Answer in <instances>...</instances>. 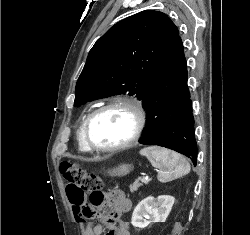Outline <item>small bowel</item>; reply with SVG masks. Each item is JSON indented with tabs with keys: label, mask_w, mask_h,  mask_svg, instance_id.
<instances>
[{
	"label": "small bowel",
	"mask_w": 250,
	"mask_h": 235,
	"mask_svg": "<svg viewBox=\"0 0 250 235\" xmlns=\"http://www.w3.org/2000/svg\"><path fill=\"white\" fill-rule=\"evenodd\" d=\"M132 202L121 190H112L108 193V201L100 208L102 223H91L86 220L94 212L88 203L80 206L72 205V211L78 222H86L85 235H130L127 222L121 221L119 216L131 209Z\"/></svg>",
	"instance_id": "1"
}]
</instances>
